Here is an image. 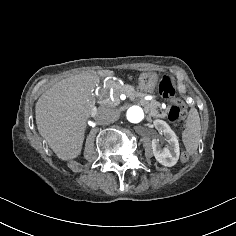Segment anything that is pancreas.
Returning a JSON list of instances; mask_svg holds the SVG:
<instances>
[{"mask_svg": "<svg viewBox=\"0 0 236 236\" xmlns=\"http://www.w3.org/2000/svg\"><path fill=\"white\" fill-rule=\"evenodd\" d=\"M114 93L118 97L120 94H125L130 100L137 101L144 106L145 113L148 116L156 118L167 117V111L161 109V104L155 100H144V93L137 92L131 85L121 86L119 83H113Z\"/></svg>", "mask_w": 236, "mask_h": 236, "instance_id": "cf45deb5", "label": "pancreas"}]
</instances>
